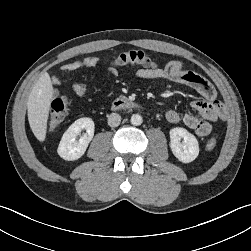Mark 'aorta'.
Wrapping results in <instances>:
<instances>
[{
	"label": "aorta",
	"mask_w": 251,
	"mask_h": 251,
	"mask_svg": "<svg viewBox=\"0 0 251 251\" xmlns=\"http://www.w3.org/2000/svg\"><path fill=\"white\" fill-rule=\"evenodd\" d=\"M142 121H143L142 116L139 114H133L131 116V124L132 125L139 126L142 124Z\"/></svg>",
	"instance_id": "1"
}]
</instances>
